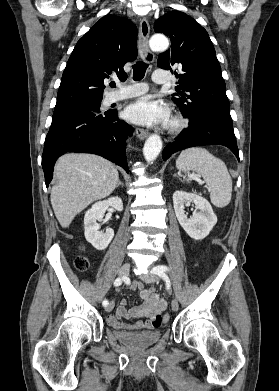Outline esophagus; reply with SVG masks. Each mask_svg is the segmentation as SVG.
Instances as JSON below:
<instances>
[{"label":"esophagus","mask_w":279,"mask_h":391,"mask_svg":"<svg viewBox=\"0 0 279 391\" xmlns=\"http://www.w3.org/2000/svg\"><path fill=\"white\" fill-rule=\"evenodd\" d=\"M140 47H141V56L145 63H152L154 61V54L148 48V38L150 33V26L146 18L140 19ZM149 135L148 131L137 128L136 136L143 140Z\"/></svg>","instance_id":"1"}]
</instances>
